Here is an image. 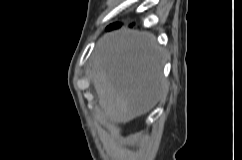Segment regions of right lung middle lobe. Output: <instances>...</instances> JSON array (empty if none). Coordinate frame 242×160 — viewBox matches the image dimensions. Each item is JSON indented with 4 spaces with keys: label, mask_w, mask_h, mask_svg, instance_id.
I'll return each instance as SVG.
<instances>
[{
    "label": "right lung middle lobe",
    "mask_w": 242,
    "mask_h": 160,
    "mask_svg": "<svg viewBox=\"0 0 242 160\" xmlns=\"http://www.w3.org/2000/svg\"><path fill=\"white\" fill-rule=\"evenodd\" d=\"M117 24V23H116ZM113 25H115V24H112V25H110L109 27H111V26H113Z\"/></svg>",
    "instance_id": "1"
}]
</instances>
